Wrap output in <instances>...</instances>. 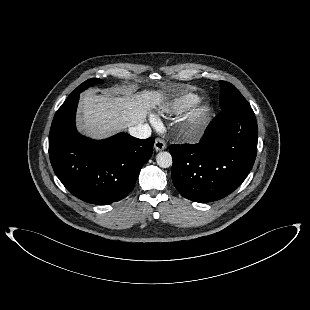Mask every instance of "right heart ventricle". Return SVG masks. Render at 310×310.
Returning <instances> with one entry per match:
<instances>
[{
  "label": "right heart ventricle",
  "instance_id": "e07e8e85",
  "mask_svg": "<svg viewBox=\"0 0 310 310\" xmlns=\"http://www.w3.org/2000/svg\"><path fill=\"white\" fill-rule=\"evenodd\" d=\"M198 101V96L193 93H184L176 96L164 110L170 113H180Z\"/></svg>",
  "mask_w": 310,
  "mask_h": 310
}]
</instances>
